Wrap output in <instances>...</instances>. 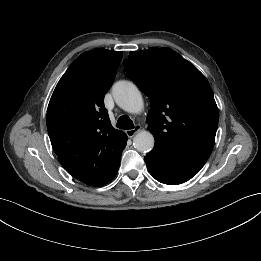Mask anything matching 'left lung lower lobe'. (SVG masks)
Returning a JSON list of instances; mask_svg holds the SVG:
<instances>
[{
    "instance_id": "obj_1",
    "label": "left lung lower lobe",
    "mask_w": 261,
    "mask_h": 261,
    "mask_svg": "<svg viewBox=\"0 0 261 261\" xmlns=\"http://www.w3.org/2000/svg\"><path fill=\"white\" fill-rule=\"evenodd\" d=\"M144 160L150 174L159 182L177 185L191 179L207 160H190L170 156L153 149Z\"/></svg>"
}]
</instances>
